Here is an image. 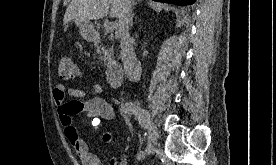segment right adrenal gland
<instances>
[{"label": "right adrenal gland", "instance_id": "1", "mask_svg": "<svg viewBox=\"0 0 276 165\" xmlns=\"http://www.w3.org/2000/svg\"><path fill=\"white\" fill-rule=\"evenodd\" d=\"M134 15H135V14L132 15L131 25H133V18H134Z\"/></svg>", "mask_w": 276, "mask_h": 165}]
</instances>
